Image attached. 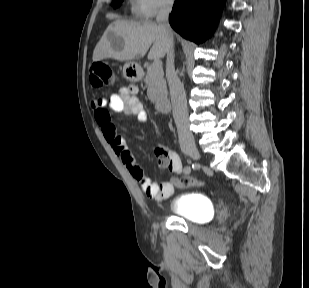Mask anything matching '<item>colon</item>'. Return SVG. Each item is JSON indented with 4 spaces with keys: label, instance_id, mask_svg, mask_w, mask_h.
<instances>
[{
    "label": "colon",
    "instance_id": "colon-1",
    "mask_svg": "<svg viewBox=\"0 0 309 288\" xmlns=\"http://www.w3.org/2000/svg\"><path fill=\"white\" fill-rule=\"evenodd\" d=\"M92 83L95 86H109L115 84L114 71L104 64H97L94 67ZM171 183L180 188L198 187L203 184L202 180L193 177L175 178Z\"/></svg>",
    "mask_w": 309,
    "mask_h": 288
}]
</instances>
